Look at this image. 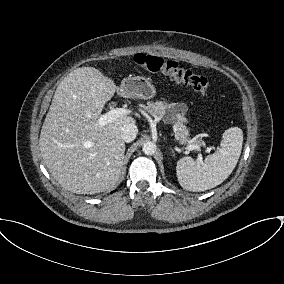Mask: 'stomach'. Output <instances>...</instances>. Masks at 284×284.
<instances>
[{"instance_id":"0dacf381","label":"stomach","mask_w":284,"mask_h":284,"mask_svg":"<svg viewBox=\"0 0 284 284\" xmlns=\"http://www.w3.org/2000/svg\"><path fill=\"white\" fill-rule=\"evenodd\" d=\"M120 90L127 97L141 99H150L156 93L153 84L142 76L124 78Z\"/></svg>"}]
</instances>
